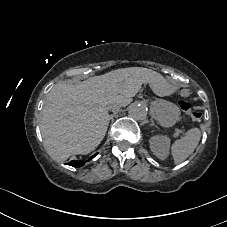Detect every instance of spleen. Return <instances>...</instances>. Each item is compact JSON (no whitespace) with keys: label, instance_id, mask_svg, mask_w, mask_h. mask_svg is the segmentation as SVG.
<instances>
[{"label":"spleen","instance_id":"spleen-1","mask_svg":"<svg viewBox=\"0 0 227 227\" xmlns=\"http://www.w3.org/2000/svg\"><path fill=\"white\" fill-rule=\"evenodd\" d=\"M200 139L201 130L194 127L189 129L182 138L176 140L170 149L174 164L184 162L194 152Z\"/></svg>","mask_w":227,"mask_h":227}]
</instances>
